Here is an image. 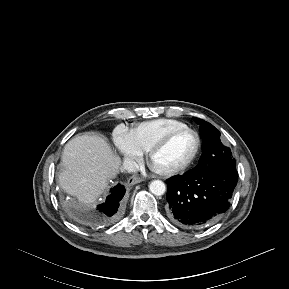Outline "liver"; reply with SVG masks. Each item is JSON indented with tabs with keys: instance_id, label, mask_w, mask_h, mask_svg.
<instances>
[{
	"instance_id": "liver-1",
	"label": "liver",
	"mask_w": 289,
	"mask_h": 289,
	"mask_svg": "<svg viewBox=\"0 0 289 289\" xmlns=\"http://www.w3.org/2000/svg\"><path fill=\"white\" fill-rule=\"evenodd\" d=\"M63 169L59 184L81 203L92 204L115 177L120 158L115 156L105 139L98 135L72 138L62 153Z\"/></svg>"
}]
</instances>
